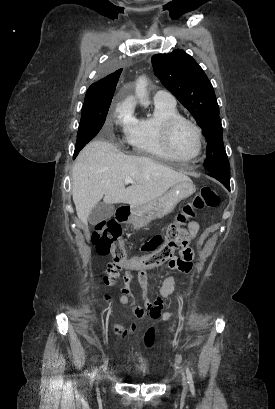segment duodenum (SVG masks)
<instances>
[{
    "mask_svg": "<svg viewBox=\"0 0 275 409\" xmlns=\"http://www.w3.org/2000/svg\"><path fill=\"white\" fill-rule=\"evenodd\" d=\"M131 212H132V210H131V207L129 205H122L117 210L116 219L121 223L126 222L129 219V217L131 216Z\"/></svg>",
    "mask_w": 275,
    "mask_h": 409,
    "instance_id": "duodenum-1",
    "label": "duodenum"
}]
</instances>
